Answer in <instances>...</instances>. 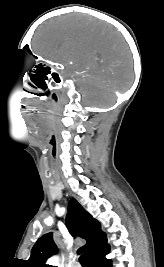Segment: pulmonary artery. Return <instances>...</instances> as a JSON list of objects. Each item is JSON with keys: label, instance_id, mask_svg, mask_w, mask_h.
I'll list each match as a JSON object with an SVG mask.
<instances>
[{"label": "pulmonary artery", "instance_id": "1", "mask_svg": "<svg viewBox=\"0 0 164 267\" xmlns=\"http://www.w3.org/2000/svg\"><path fill=\"white\" fill-rule=\"evenodd\" d=\"M74 267H80V265H79V264H77V265H75Z\"/></svg>", "mask_w": 164, "mask_h": 267}]
</instances>
